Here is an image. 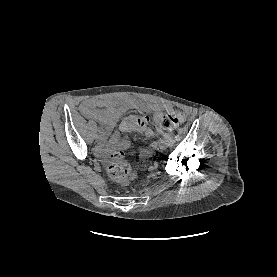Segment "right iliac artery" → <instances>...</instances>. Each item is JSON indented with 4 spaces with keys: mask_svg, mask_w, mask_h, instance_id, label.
<instances>
[{
    "mask_svg": "<svg viewBox=\"0 0 277 277\" xmlns=\"http://www.w3.org/2000/svg\"><path fill=\"white\" fill-rule=\"evenodd\" d=\"M96 136H101V131L100 130H98L97 132H96Z\"/></svg>",
    "mask_w": 277,
    "mask_h": 277,
    "instance_id": "obj_1",
    "label": "right iliac artery"
}]
</instances>
